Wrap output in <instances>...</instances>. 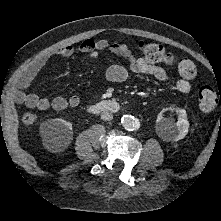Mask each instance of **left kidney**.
I'll list each match as a JSON object with an SVG mask.
<instances>
[{"label":"left kidney","instance_id":"5707ae66","mask_svg":"<svg viewBox=\"0 0 221 221\" xmlns=\"http://www.w3.org/2000/svg\"><path fill=\"white\" fill-rule=\"evenodd\" d=\"M170 110L175 111L178 115L176 123L172 119L164 118L163 112ZM189 131V121L184 109L168 107L163 109L156 120V132L163 140L179 141L183 139Z\"/></svg>","mask_w":221,"mask_h":221}]
</instances>
